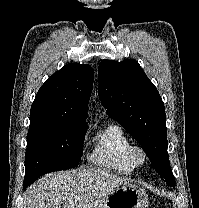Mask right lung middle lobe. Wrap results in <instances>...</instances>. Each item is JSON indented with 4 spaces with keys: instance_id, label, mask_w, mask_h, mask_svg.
I'll use <instances>...</instances> for the list:
<instances>
[{
    "instance_id": "1",
    "label": "right lung middle lobe",
    "mask_w": 199,
    "mask_h": 208,
    "mask_svg": "<svg viewBox=\"0 0 199 208\" xmlns=\"http://www.w3.org/2000/svg\"><path fill=\"white\" fill-rule=\"evenodd\" d=\"M86 130V123L30 120L24 182L32 183L43 174L77 166Z\"/></svg>"
}]
</instances>
